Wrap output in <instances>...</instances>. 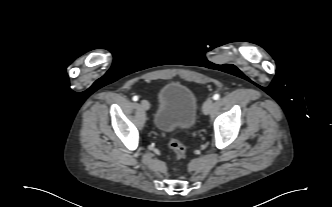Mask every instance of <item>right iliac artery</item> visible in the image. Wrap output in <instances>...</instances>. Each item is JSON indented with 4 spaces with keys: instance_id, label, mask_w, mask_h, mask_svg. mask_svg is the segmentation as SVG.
Masks as SVG:
<instances>
[{
    "instance_id": "82829eb1",
    "label": "right iliac artery",
    "mask_w": 332,
    "mask_h": 207,
    "mask_svg": "<svg viewBox=\"0 0 332 207\" xmlns=\"http://www.w3.org/2000/svg\"><path fill=\"white\" fill-rule=\"evenodd\" d=\"M137 100H138V96H134L133 101H137Z\"/></svg>"
}]
</instances>
